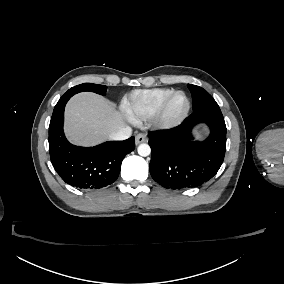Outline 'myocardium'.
Here are the masks:
<instances>
[{"label":"myocardium","mask_w":284,"mask_h":284,"mask_svg":"<svg viewBox=\"0 0 284 284\" xmlns=\"http://www.w3.org/2000/svg\"><path fill=\"white\" fill-rule=\"evenodd\" d=\"M177 93H183L186 97V107L184 112L182 113V115L180 117H178L177 119L173 120V121H166L164 119V115L166 112V108L167 105L169 103V101L171 100V98L176 95ZM191 109V100L189 95L184 91V90H174L172 92H170L168 95H166L161 102L159 103L158 107L156 108V110L154 111V113L151 115L150 117V126L159 132H171L176 130L177 128H179L184 121L187 119L189 112Z\"/></svg>","instance_id":"obj_1"}]
</instances>
